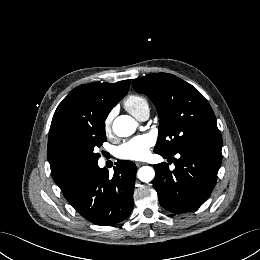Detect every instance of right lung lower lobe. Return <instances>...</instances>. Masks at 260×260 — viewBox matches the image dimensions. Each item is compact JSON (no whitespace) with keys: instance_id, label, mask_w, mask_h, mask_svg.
Wrapping results in <instances>:
<instances>
[{"instance_id":"1","label":"right lung lower lobe","mask_w":260,"mask_h":260,"mask_svg":"<svg viewBox=\"0 0 260 260\" xmlns=\"http://www.w3.org/2000/svg\"><path fill=\"white\" fill-rule=\"evenodd\" d=\"M136 165L118 160L113 176L98 164L83 170L63 191L66 200L90 222L109 226L131 213Z\"/></svg>"}]
</instances>
